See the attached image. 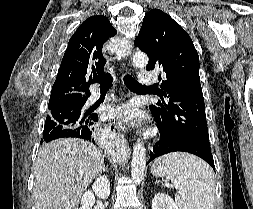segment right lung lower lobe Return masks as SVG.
<instances>
[{"label":"right lung lower lobe","mask_w":253,"mask_h":209,"mask_svg":"<svg viewBox=\"0 0 253 209\" xmlns=\"http://www.w3.org/2000/svg\"><path fill=\"white\" fill-rule=\"evenodd\" d=\"M97 121H98L97 116H93L91 117L87 125H82L75 128L63 129L54 133H50V132L48 134L45 133L43 136V139L41 140V144L43 142H49L51 140L64 138V137H76V138L85 139V140L95 143L94 140H95L96 133L94 131V126Z\"/></svg>","instance_id":"98d812e1"}]
</instances>
